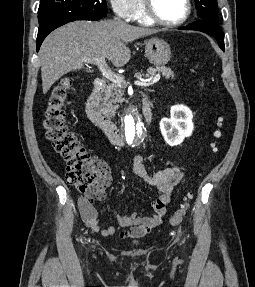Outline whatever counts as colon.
I'll return each instance as SVG.
<instances>
[{
    "label": "colon",
    "mask_w": 255,
    "mask_h": 287,
    "mask_svg": "<svg viewBox=\"0 0 255 287\" xmlns=\"http://www.w3.org/2000/svg\"><path fill=\"white\" fill-rule=\"evenodd\" d=\"M69 78L61 79L51 90L47 106L44 111L43 127L46 138L51 142L54 150L66 162V180L78 191L85 193L94 186L99 179L100 167L97 165L65 122V106L71 88ZM223 117L219 116L215 137L221 136ZM213 149L216 150L215 145ZM191 197L188 196V199ZM188 209L186 201L179 210L170 217L172 225L182 222Z\"/></svg>",
    "instance_id": "1"
}]
</instances>
